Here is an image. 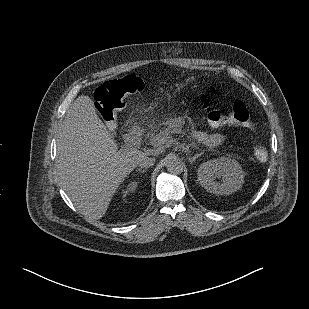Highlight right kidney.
Masks as SVG:
<instances>
[{
  "mask_svg": "<svg viewBox=\"0 0 309 309\" xmlns=\"http://www.w3.org/2000/svg\"><path fill=\"white\" fill-rule=\"evenodd\" d=\"M137 187V182H135V181H132V182H130L128 185H127V189H123V193H127L128 191H133V190H135V188Z\"/></svg>",
  "mask_w": 309,
  "mask_h": 309,
  "instance_id": "right-kidney-1",
  "label": "right kidney"
}]
</instances>
